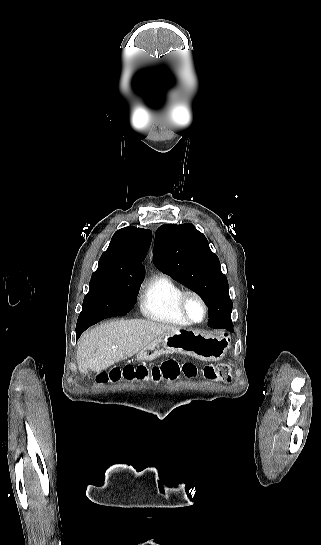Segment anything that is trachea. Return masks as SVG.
Listing matches in <instances>:
<instances>
[{
    "mask_svg": "<svg viewBox=\"0 0 321 545\" xmlns=\"http://www.w3.org/2000/svg\"><path fill=\"white\" fill-rule=\"evenodd\" d=\"M156 111H157L158 113H161V112L163 111V108H162L161 106H158V107L156 108Z\"/></svg>",
    "mask_w": 321,
    "mask_h": 545,
    "instance_id": "obj_1",
    "label": "trachea"
}]
</instances>
